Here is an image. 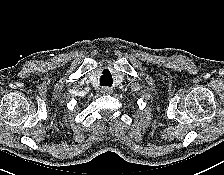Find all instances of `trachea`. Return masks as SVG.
<instances>
[{
    "instance_id": "trachea-1",
    "label": "trachea",
    "mask_w": 224,
    "mask_h": 175,
    "mask_svg": "<svg viewBox=\"0 0 224 175\" xmlns=\"http://www.w3.org/2000/svg\"><path fill=\"white\" fill-rule=\"evenodd\" d=\"M104 73L105 74H103L100 78V85L111 87L113 84L112 76L107 71H105Z\"/></svg>"
}]
</instances>
